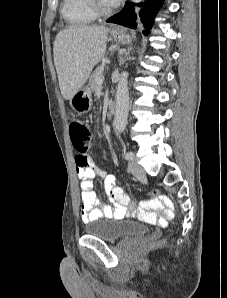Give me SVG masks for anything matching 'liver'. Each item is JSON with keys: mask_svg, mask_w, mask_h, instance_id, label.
I'll list each match as a JSON object with an SVG mask.
<instances>
[{"mask_svg": "<svg viewBox=\"0 0 227 298\" xmlns=\"http://www.w3.org/2000/svg\"><path fill=\"white\" fill-rule=\"evenodd\" d=\"M108 32L103 26H74L57 34L53 55L64 99L70 100L83 87L104 57Z\"/></svg>", "mask_w": 227, "mask_h": 298, "instance_id": "1", "label": "liver"}]
</instances>
